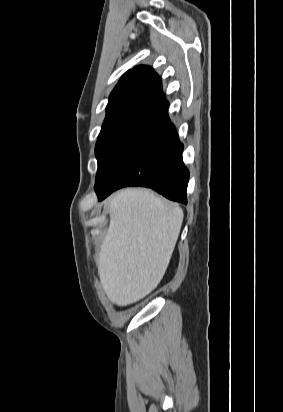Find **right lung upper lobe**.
I'll list each match as a JSON object with an SVG mask.
<instances>
[{
  "label": "right lung upper lobe",
  "instance_id": "cb5924a9",
  "mask_svg": "<svg viewBox=\"0 0 283 412\" xmlns=\"http://www.w3.org/2000/svg\"><path fill=\"white\" fill-rule=\"evenodd\" d=\"M168 106L158 75L148 66H137L127 71L112 91L105 119L126 114L164 117Z\"/></svg>",
  "mask_w": 283,
  "mask_h": 412
}]
</instances>
